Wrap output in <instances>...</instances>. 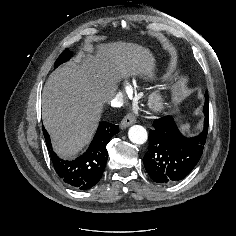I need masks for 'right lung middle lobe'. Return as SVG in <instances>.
<instances>
[{
  "instance_id": "1",
  "label": "right lung middle lobe",
  "mask_w": 236,
  "mask_h": 236,
  "mask_svg": "<svg viewBox=\"0 0 236 236\" xmlns=\"http://www.w3.org/2000/svg\"><path fill=\"white\" fill-rule=\"evenodd\" d=\"M71 55H72V53L68 49H65L62 52V54L57 58L54 68L58 67L60 64H62L64 62H66L67 60H69Z\"/></svg>"
}]
</instances>
